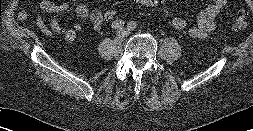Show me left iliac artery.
I'll use <instances>...</instances> for the list:
<instances>
[{"instance_id": "1", "label": "left iliac artery", "mask_w": 253, "mask_h": 131, "mask_svg": "<svg viewBox=\"0 0 253 131\" xmlns=\"http://www.w3.org/2000/svg\"><path fill=\"white\" fill-rule=\"evenodd\" d=\"M136 27H137V24L134 21H131L127 24V29L130 31L136 29Z\"/></svg>"}]
</instances>
